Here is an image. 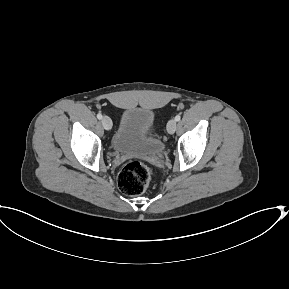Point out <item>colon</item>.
<instances>
[{"label":"colon","mask_w":289,"mask_h":289,"mask_svg":"<svg viewBox=\"0 0 289 289\" xmlns=\"http://www.w3.org/2000/svg\"><path fill=\"white\" fill-rule=\"evenodd\" d=\"M151 182V171L138 160L128 162L118 177L119 189L126 195L137 196L146 191Z\"/></svg>","instance_id":"5ec220e1"}]
</instances>
